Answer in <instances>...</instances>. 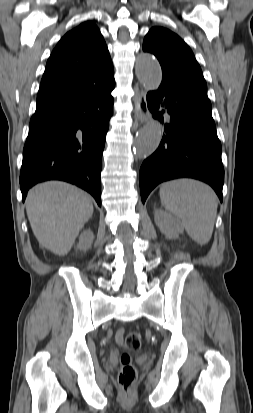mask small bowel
I'll list each match as a JSON object with an SVG mask.
<instances>
[{
  "label": "small bowel",
  "mask_w": 253,
  "mask_h": 413,
  "mask_svg": "<svg viewBox=\"0 0 253 413\" xmlns=\"http://www.w3.org/2000/svg\"><path fill=\"white\" fill-rule=\"evenodd\" d=\"M122 338H123V331L120 330V331H118L117 334H116V340H117L118 342H121V341H122Z\"/></svg>",
  "instance_id": "obj_1"
}]
</instances>
